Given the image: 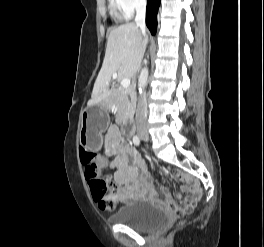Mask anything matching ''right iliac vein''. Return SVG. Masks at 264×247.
Listing matches in <instances>:
<instances>
[{
	"label": "right iliac vein",
	"instance_id": "obj_1",
	"mask_svg": "<svg viewBox=\"0 0 264 247\" xmlns=\"http://www.w3.org/2000/svg\"><path fill=\"white\" fill-rule=\"evenodd\" d=\"M139 136L144 139V140H148V134L147 131L145 129H141L138 132Z\"/></svg>",
	"mask_w": 264,
	"mask_h": 247
}]
</instances>
